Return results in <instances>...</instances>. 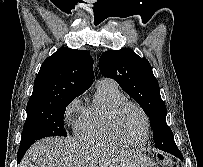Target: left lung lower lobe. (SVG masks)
<instances>
[{
  "instance_id": "left-lung-lower-lobe-1",
  "label": "left lung lower lobe",
  "mask_w": 203,
  "mask_h": 167,
  "mask_svg": "<svg viewBox=\"0 0 203 167\" xmlns=\"http://www.w3.org/2000/svg\"><path fill=\"white\" fill-rule=\"evenodd\" d=\"M155 147L172 155L178 157L180 156V151L172 138H162L160 141L155 143Z\"/></svg>"
}]
</instances>
